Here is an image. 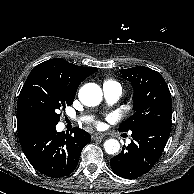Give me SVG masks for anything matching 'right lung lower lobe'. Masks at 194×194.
<instances>
[{
    "mask_svg": "<svg viewBox=\"0 0 194 194\" xmlns=\"http://www.w3.org/2000/svg\"><path fill=\"white\" fill-rule=\"evenodd\" d=\"M73 135L57 132L55 126L33 125L18 132L21 147L40 173L60 178L77 167L81 151L91 141L88 132L75 128Z\"/></svg>",
    "mask_w": 194,
    "mask_h": 194,
    "instance_id": "right-lung-lower-lobe-1",
    "label": "right lung lower lobe"
}]
</instances>
